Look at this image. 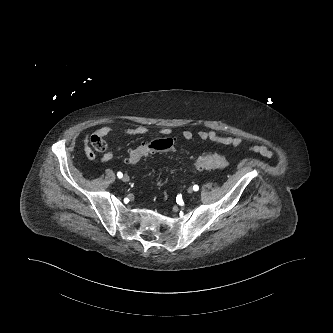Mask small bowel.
<instances>
[{"mask_svg": "<svg viewBox=\"0 0 333 333\" xmlns=\"http://www.w3.org/2000/svg\"><path fill=\"white\" fill-rule=\"evenodd\" d=\"M121 132L124 135L128 136H142L147 133L148 129L144 125H139L136 127L131 128H124V129H118L114 126L106 125L101 127L94 135H98L101 137H107L115 132ZM161 138H171V129L169 128H162L160 130ZM180 136L187 141L193 140L195 136H197L201 141L205 142H213L217 144H221L224 146H233V147H241L243 145V139L239 136H233V135H221L215 130H199L196 133H194L190 129H184L180 132ZM90 138L84 139V152L86 157L89 160H92L94 158V153L89 146ZM251 149L254 152L260 153L264 156L271 157L273 156V153L264 145H253L251 146ZM113 151L108 150L104 152V154L101 156V162L107 163L112 160L113 158Z\"/></svg>", "mask_w": 333, "mask_h": 333, "instance_id": "1", "label": "small bowel"}]
</instances>
